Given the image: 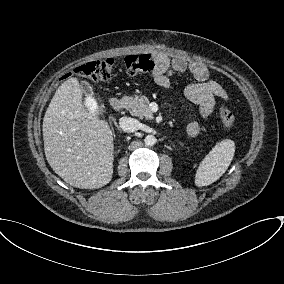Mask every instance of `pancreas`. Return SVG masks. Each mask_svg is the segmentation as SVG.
Masks as SVG:
<instances>
[{"mask_svg": "<svg viewBox=\"0 0 284 284\" xmlns=\"http://www.w3.org/2000/svg\"><path fill=\"white\" fill-rule=\"evenodd\" d=\"M122 101L123 107L127 109L131 115L137 116L140 119H153V113L149 108L150 101L145 95H136L134 97L125 96Z\"/></svg>", "mask_w": 284, "mask_h": 284, "instance_id": "1", "label": "pancreas"}]
</instances>
